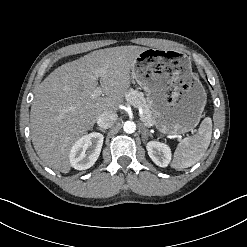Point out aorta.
<instances>
[{"instance_id": "762f6f07", "label": "aorta", "mask_w": 247, "mask_h": 247, "mask_svg": "<svg viewBox=\"0 0 247 247\" xmlns=\"http://www.w3.org/2000/svg\"><path fill=\"white\" fill-rule=\"evenodd\" d=\"M123 130L128 134H132L136 130V124L133 121H126L123 125Z\"/></svg>"}]
</instances>
